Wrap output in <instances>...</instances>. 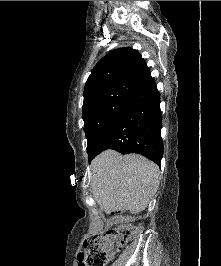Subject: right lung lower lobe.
<instances>
[{"instance_id":"98d812e1","label":"right lung lower lobe","mask_w":221,"mask_h":266,"mask_svg":"<svg viewBox=\"0 0 221 266\" xmlns=\"http://www.w3.org/2000/svg\"><path fill=\"white\" fill-rule=\"evenodd\" d=\"M161 127L160 95L151 79L127 104L89 157V162L100 152L114 149L122 154H141L160 165L163 155Z\"/></svg>"}]
</instances>
